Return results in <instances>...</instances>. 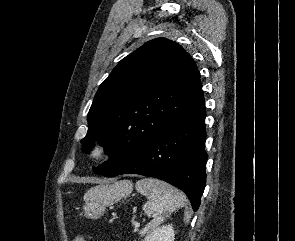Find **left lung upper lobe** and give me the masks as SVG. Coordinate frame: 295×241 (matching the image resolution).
I'll return each mask as SVG.
<instances>
[{
  "mask_svg": "<svg viewBox=\"0 0 295 241\" xmlns=\"http://www.w3.org/2000/svg\"><path fill=\"white\" fill-rule=\"evenodd\" d=\"M203 101L200 73L190 54L166 38L145 43L119 62L94 97L83 151L99 141L110 156L94 172L111 175Z\"/></svg>",
  "mask_w": 295,
  "mask_h": 241,
  "instance_id": "1",
  "label": "left lung upper lobe"
}]
</instances>
